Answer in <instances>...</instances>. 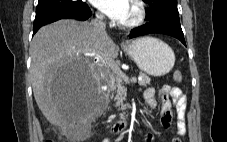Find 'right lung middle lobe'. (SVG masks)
<instances>
[{
  "label": "right lung middle lobe",
  "instance_id": "right-lung-middle-lobe-1",
  "mask_svg": "<svg viewBox=\"0 0 227 142\" xmlns=\"http://www.w3.org/2000/svg\"><path fill=\"white\" fill-rule=\"evenodd\" d=\"M86 5L82 0H38L36 13L59 9V8H73Z\"/></svg>",
  "mask_w": 227,
  "mask_h": 142
}]
</instances>
